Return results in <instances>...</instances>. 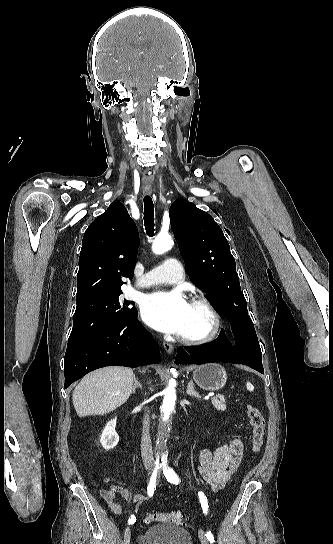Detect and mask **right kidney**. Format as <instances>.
Instances as JSON below:
<instances>
[{
  "instance_id": "ca27d5eb",
  "label": "right kidney",
  "mask_w": 333,
  "mask_h": 544,
  "mask_svg": "<svg viewBox=\"0 0 333 544\" xmlns=\"http://www.w3.org/2000/svg\"><path fill=\"white\" fill-rule=\"evenodd\" d=\"M119 442V436L115 431V420L107 422L100 437V443L105 450L113 449Z\"/></svg>"
}]
</instances>
